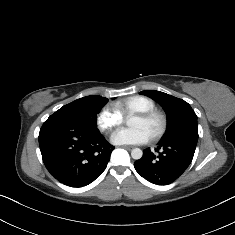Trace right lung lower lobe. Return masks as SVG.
Here are the masks:
<instances>
[{"instance_id": "right-lung-lower-lobe-1", "label": "right lung lower lobe", "mask_w": 235, "mask_h": 235, "mask_svg": "<svg viewBox=\"0 0 235 235\" xmlns=\"http://www.w3.org/2000/svg\"><path fill=\"white\" fill-rule=\"evenodd\" d=\"M39 145L49 173L71 187L86 186L100 176L114 149L97 128L52 116L40 129Z\"/></svg>"}]
</instances>
